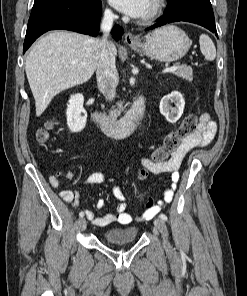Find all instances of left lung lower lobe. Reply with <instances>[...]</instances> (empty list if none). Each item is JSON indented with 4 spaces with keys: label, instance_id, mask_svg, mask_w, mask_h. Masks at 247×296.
Segmentation results:
<instances>
[{
    "label": "left lung lower lobe",
    "instance_id": "1",
    "mask_svg": "<svg viewBox=\"0 0 247 296\" xmlns=\"http://www.w3.org/2000/svg\"><path fill=\"white\" fill-rule=\"evenodd\" d=\"M178 21L201 25L215 33L218 37L210 0H184L174 7L168 5L164 15L159 18V22L146 30Z\"/></svg>",
    "mask_w": 247,
    "mask_h": 296
}]
</instances>
